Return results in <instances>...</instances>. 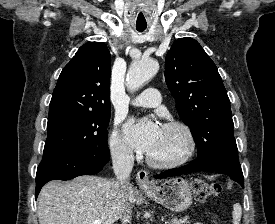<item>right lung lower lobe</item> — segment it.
Here are the masks:
<instances>
[{"label":"right lung lower lobe","instance_id":"obj_1","mask_svg":"<svg viewBox=\"0 0 275 224\" xmlns=\"http://www.w3.org/2000/svg\"><path fill=\"white\" fill-rule=\"evenodd\" d=\"M109 159L108 146L80 153L44 156L37 169L35 198L45 183L51 180H69L80 175L96 174Z\"/></svg>","mask_w":275,"mask_h":224}]
</instances>
